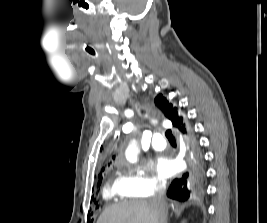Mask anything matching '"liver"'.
Returning <instances> with one entry per match:
<instances>
[{"label": "liver", "instance_id": "liver-1", "mask_svg": "<svg viewBox=\"0 0 267 223\" xmlns=\"http://www.w3.org/2000/svg\"><path fill=\"white\" fill-rule=\"evenodd\" d=\"M160 212L146 200L113 204L106 208L97 223H159Z\"/></svg>", "mask_w": 267, "mask_h": 223}]
</instances>
